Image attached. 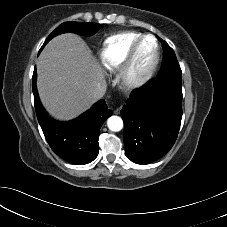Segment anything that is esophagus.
<instances>
[{
  "label": "esophagus",
  "mask_w": 227,
  "mask_h": 227,
  "mask_svg": "<svg viewBox=\"0 0 227 227\" xmlns=\"http://www.w3.org/2000/svg\"><path fill=\"white\" fill-rule=\"evenodd\" d=\"M114 113H115V114H119V113H120V108H116V109L114 110Z\"/></svg>",
  "instance_id": "obj_1"
}]
</instances>
